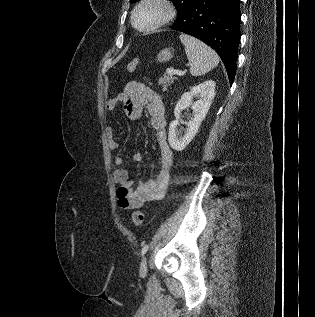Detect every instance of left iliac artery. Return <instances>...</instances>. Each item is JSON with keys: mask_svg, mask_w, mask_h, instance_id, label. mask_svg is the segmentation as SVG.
I'll list each match as a JSON object with an SVG mask.
<instances>
[{"mask_svg": "<svg viewBox=\"0 0 315 317\" xmlns=\"http://www.w3.org/2000/svg\"><path fill=\"white\" fill-rule=\"evenodd\" d=\"M148 248H149V245H147V244L143 246V248L141 250V255L142 256L147 252Z\"/></svg>", "mask_w": 315, "mask_h": 317, "instance_id": "1", "label": "left iliac artery"}]
</instances>
